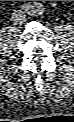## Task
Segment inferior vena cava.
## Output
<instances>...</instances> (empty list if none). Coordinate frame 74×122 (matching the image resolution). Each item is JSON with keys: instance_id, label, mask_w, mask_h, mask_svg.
<instances>
[{"instance_id": "inferior-vena-cava-1", "label": "inferior vena cava", "mask_w": 74, "mask_h": 122, "mask_svg": "<svg viewBox=\"0 0 74 122\" xmlns=\"http://www.w3.org/2000/svg\"><path fill=\"white\" fill-rule=\"evenodd\" d=\"M25 13L22 12L21 10H16L12 13V21L14 24H22L25 20Z\"/></svg>"}]
</instances>
